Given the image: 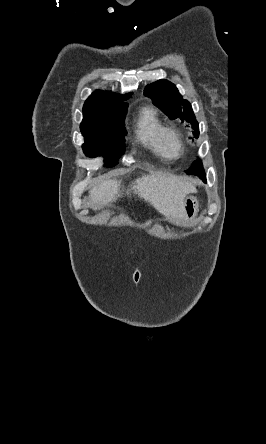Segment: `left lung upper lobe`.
I'll list each match as a JSON object with an SVG mask.
<instances>
[{"mask_svg": "<svg viewBox=\"0 0 266 444\" xmlns=\"http://www.w3.org/2000/svg\"><path fill=\"white\" fill-rule=\"evenodd\" d=\"M144 93L150 97L170 119L180 118L193 125L196 137L199 136V125L193 113L191 104L184 100L176 86L167 80H158L148 85Z\"/></svg>", "mask_w": 266, "mask_h": 444, "instance_id": "1", "label": "left lung upper lobe"}]
</instances>
